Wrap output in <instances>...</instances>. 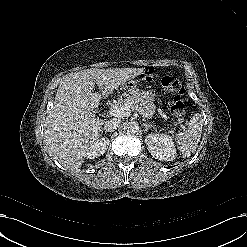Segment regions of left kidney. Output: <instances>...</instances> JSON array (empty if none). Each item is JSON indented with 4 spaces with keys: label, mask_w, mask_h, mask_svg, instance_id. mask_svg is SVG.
<instances>
[{
    "label": "left kidney",
    "mask_w": 247,
    "mask_h": 247,
    "mask_svg": "<svg viewBox=\"0 0 247 247\" xmlns=\"http://www.w3.org/2000/svg\"><path fill=\"white\" fill-rule=\"evenodd\" d=\"M145 143L149 153L156 159L172 161L176 158V148L171 136L167 134H148Z\"/></svg>",
    "instance_id": "1"
}]
</instances>
